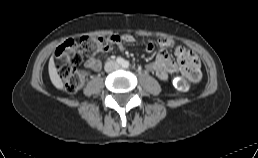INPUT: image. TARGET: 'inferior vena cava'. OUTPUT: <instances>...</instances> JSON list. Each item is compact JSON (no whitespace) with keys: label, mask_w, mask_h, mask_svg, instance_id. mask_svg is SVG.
<instances>
[{"label":"inferior vena cava","mask_w":258,"mask_h":158,"mask_svg":"<svg viewBox=\"0 0 258 158\" xmlns=\"http://www.w3.org/2000/svg\"><path fill=\"white\" fill-rule=\"evenodd\" d=\"M119 68V64L116 61H108L105 64V71L112 72Z\"/></svg>","instance_id":"obj_1"}]
</instances>
